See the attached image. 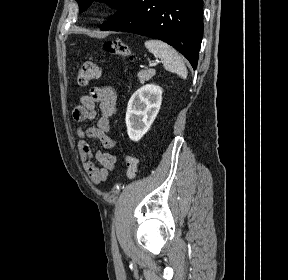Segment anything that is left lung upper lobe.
Returning a JSON list of instances; mask_svg holds the SVG:
<instances>
[{
	"instance_id": "obj_1",
	"label": "left lung upper lobe",
	"mask_w": 288,
	"mask_h": 280,
	"mask_svg": "<svg viewBox=\"0 0 288 280\" xmlns=\"http://www.w3.org/2000/svg\"><path fill=\"white\" fill-rule=\"evenodd\" d=\"M79 4L80 8V13L85 11L94 0H76ZM99 2H105L107 3L110 7L117 9V12L111 16V18H114L116 16L121 15L128 5L132 2V0H97Z\"/></svg>"
}]
</instances>
